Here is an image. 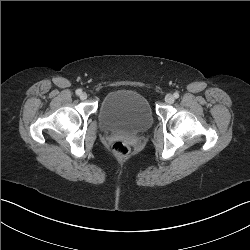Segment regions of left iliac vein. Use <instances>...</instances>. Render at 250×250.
<instances>
[{
  "label": "left iliac vein",
  "instance_id": "obj_1",
  "mask_svg": "<svg viewBox=\"0 0 250 250\" xmlns=\"http://www.w3.org/2000/svg\"><path fill=\"white\" fill-rule=\"evenodd\" d=\"M174 96L172 95V94H167L166 96H165V101H166V103H168V104H172L173 102H174Z\"/></svg>",
  "mask_w": 250,
  "mask_h": 250
}]
</instances>
